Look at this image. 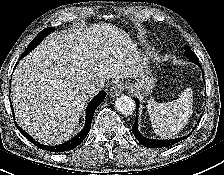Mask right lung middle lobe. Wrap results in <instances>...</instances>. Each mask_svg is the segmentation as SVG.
<instances>
[{
  "mask_svg": "<svg viewBox=\"0 0 224 175\" xmlns=\"http://www.w3.org/2000/svg\"><path fill=\"white\" fill-rule=\"evenodd\" d=\"M53 30L52 27H48L46 29H44L42 32H40L35 38L34 40L29 44V46L27 47L26 50L29 49H34L44 38L45 36H47L48 34L51 33V31ZM25 50V51H26Z\"/></svg>",
  "mask_w": 224,
  "mask_h": 175,
  "instance_id": "dd1d6c3e",
  "label": "right lung middle lobe"
}]
</instances>
